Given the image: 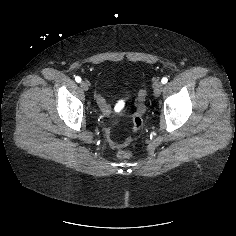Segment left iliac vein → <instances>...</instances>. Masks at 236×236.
I'll return each mask as SVG.
<instances>
[{"label": "left iliac vein", "instance_id": "4c4485c4", "mask_svg": "<svg viewBox=\"0 0 236 236\" xmlns=\"http://www.w3.org/2000/svg\"><path fill=\"white\" fill-rule=\"evenodd\" d=\"M153 88H154V94L156 96H159L161 92L163 91L164 86L161 82L158 81L154 83Z\"/></svg>", "mask_w": 236, "mask_h": 236}]
</instances>
